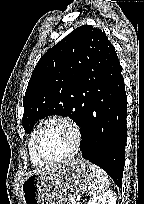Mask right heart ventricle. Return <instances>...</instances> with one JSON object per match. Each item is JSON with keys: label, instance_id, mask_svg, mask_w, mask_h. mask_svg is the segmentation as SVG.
I'll return each mask as SVG.
<instances>
[{"label": "right heart ventricle", "instance_id": "right-heart-ventricle-1", "mask_svg": "<svg viewBox=\"0 0 144 204\" xmlns=\"http://www.w3.org/2000/svg\"><path fill=\"white\" fill-rule=\"evenodd\" d=\"M43 123H39L34 130L32 131L29 140H28V152H29V157H30V161L31 163L36 166V167H42L45 165V163H43L42 161H40L34 152V141H35V137L36 134L39 130V128L42 126Z\"/></svg>", "mask_w": 144, "mask_h": 204}]
</instances>
